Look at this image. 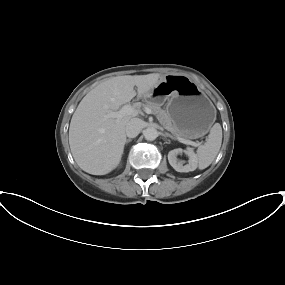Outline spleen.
Returning <instances> with one entry per match:
<instances>
[{
    "label": "spleen",
    "mask_w": 285,
    "mask_h": 285,
    "mask_svg": "<svg viewBox=\"0 0 285 285\" xmlns=\"http://www.w3.org/2000/svg\"><path fill=\"white\" fill-rule=\"evenodd\" d=\"M222 143V127L215 123L210 130L207 141L197 149V163L199 169L207 168L216 158Z\"/></svg>",
    "instance_id": "3e777b00"
}]
</instances>
